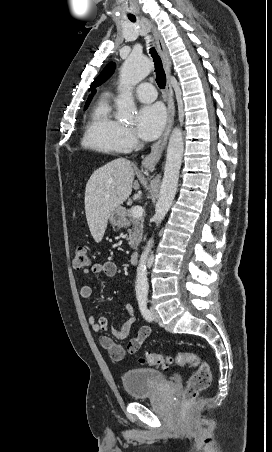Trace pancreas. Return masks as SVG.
I'll return each instance as SVG.
<instances>
[{"mask_svg":"<svg viewBox=\"0 0 272 452\" xmlns=\"http://www.w3.org/2000/svg\"><path fill=\"white\" fill-rule=\"evenodd\" d=\"M126 217L127 218L125 220L124 227L128 228V244L132 249H137L143 235L144 217L141 216L135 218L132 214V209H129L126 212Z\"/></svg>","mask_w":272,"mask_h":452,"instance_id":"cf45deb5","label":"pancreas"}]
</instances>
